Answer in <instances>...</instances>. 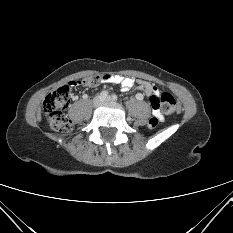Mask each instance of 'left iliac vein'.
<instances>
[{"label": "left iliac vein", "instance_id": "4c4485c4", "mask_svg": "<svg viewBox=\"0 0 233 233\" xmlns=\"http://www.w3.org/2000/svg\"><path fill=\"white\" fill-rule=\"evenodd\" d=\"M112 99H111V97H105L104 99H103V101H105V102H109V101H111Z\"/></svg>", "mask_w": 233, "mask_h": 233}]
</instances>
